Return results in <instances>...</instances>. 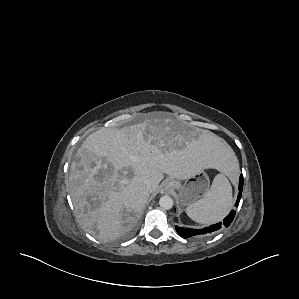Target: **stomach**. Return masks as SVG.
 Here are the masks:
<instances>
[{"label": "stomach", "instance_id": "1", "mask_svg": "<svg viewBox=\"0 0 299 299\" xmlns=\"http://www.w3.org/2000/svg\"><path fill=\"white\" fill-rule=\"evenodd\" d=\"M165 188L167 190L176 189L179 191L178 198L182 205L189 206L204 197L209 190V177L204 170L186 178L178 180L168 178Z\"/></svg>", "mask_w": 299, "mask_h": 299}]
</instances>
